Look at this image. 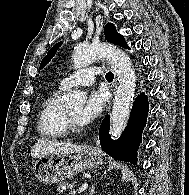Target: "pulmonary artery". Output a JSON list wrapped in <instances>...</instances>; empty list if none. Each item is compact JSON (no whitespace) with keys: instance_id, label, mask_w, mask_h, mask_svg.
Here are the masks:
<instances>
[{"instance_id":"pulmonary-artery-1","label":"pulmonary artery","mask_w":189,"mask_h":195,"mask_svg":"<svg viewBox=\"0 0 189 195\" xmlns=\"http://www.w3.org/2000/svg\"><path fill=\"white\" fill-rule=\"evenodd\" d=\"M96 77L97 73L82 68L63 78L60 87L64 90H70L78 86H89L95 82Z\"/></svg>"}]
</instances>
